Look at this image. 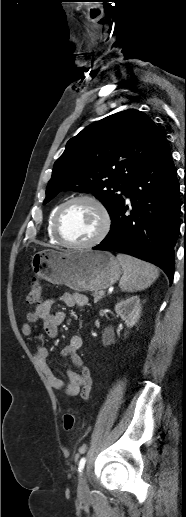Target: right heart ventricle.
I'll return each mask as SVG.
<instances>
[{
  "instance_id": "right-heart-ventricle-1",
  "label": "right heart ventricle",
  "mask_w": 186,
  "mask_h": 517,
  "mask_svg": "<svg viewBox=\"0 0 186 517\" xmlns=\"http://www.w3.org/2000/svg\"><path fill=\"white\" fill-rule=\"evenodd\" d=\"M60 205H57L55 206L50 214H49V217H48V220H47V235H48V238L50 240L51 243L53 244H60V242L56 239L55 235H54V232H53V218L55 216V213L57 211V209L59 208Z\"/></svg>"
}]
</instances>
